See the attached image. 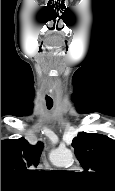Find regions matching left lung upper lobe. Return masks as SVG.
I'll return each mask as SVG.
<instances>
[{
  "mask_svg": "<svg viewBox=\"0 0 115 191\" xmlns=\"http://www.w3.org/2000/svg\"><path fill=\"white\" fill-rule=\"evenodd\" d=\"M83 174L106 190L115 191V141L108 136L80 132L72 141Z\"/></svg>",
  "mask_w": 115,
  "mask_h": 191,
  "instance_id": "left-lung-upper-lobe-1",
  "label": "left lung upper lobe"
}]
</instances>
